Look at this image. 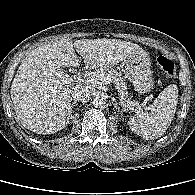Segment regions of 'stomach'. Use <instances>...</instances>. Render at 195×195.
I'll return each mask as SVG.
<instances>
[{"label":"stomach","instance_id":"1","mask_svg":"<svg viewBox=\"0 0 195 195\" xmlns=\"http://www.w3.org/2000/svg\"><path fill=\"white\" fill-rule=\"evenodd\" d=\"M151 60L146 52H141L125 60V76L140 93L150 92L154 86Z\"/></svg>","mask_w":195,"mask_h":195}]
</instances>
